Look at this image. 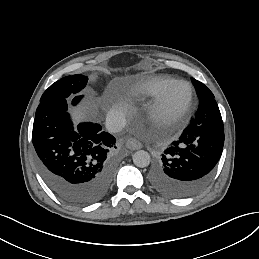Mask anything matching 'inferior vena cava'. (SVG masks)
I'll list each match as a JSON object with an SVG mask.
<instances>
[{
	"label": "inferior vena cava",
	"mask_w": 259,
	"mask_h": 259,
	"mask_svg": "<svg viewBox=\"0 0 259 259\" xmlns=\"http://www.w3.org/2000/svg\"><path fill=\"white\" fill-rule=\"evenodd\" d=\"M126 125L125 118L118 112H110L106 118V129L110 133L120 132Z\"/></svg>",
	"instance_id": "1"
}]
</instances>
